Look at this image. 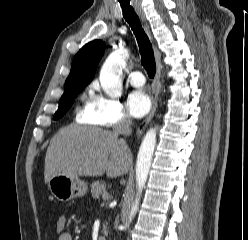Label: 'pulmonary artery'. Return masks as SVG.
I'll list each match as a JSON object with an SVG mask.
<instances>
[{
    "label": "pulmonary artery",
    "instance_id": "pulmonary-artery-1",
    "mask_svg": "<svg viewBox=\"0 0 248 240\" xmlns=\"http://www.w3.org/2000/svg\"><path fill=\"white\" fill-rule=\"evenodd\" d=\"M129 82L136 87H140L144 84V75L140 71H132L129 73Z\"/></svg>",
    "mask_w": 248,
    "mask_h": 240
}]
</instances>
